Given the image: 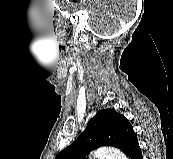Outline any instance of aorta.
<instances>
[{
  "label": "aorta",
  "mask_w": 173,
  "mask_h": 159,
  "mask_svg": "<svg viewBox=\"0 0 173 159\" xmlns=\"http://www.w3.org/2000/svg\"><path fill=\"white\" fill-rule=\"evenodd\" d=\"M94 159H127L126 155L116 148L103 147L93 153Z\"/></svg>",
  "instance_id": "obj_1"
}]
</instances>
